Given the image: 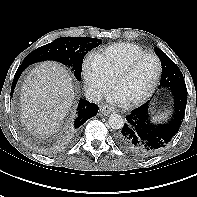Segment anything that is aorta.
Segmentation results:
<instances>
[{"instance_id":"762f6f07","label":"aorta","mask_w":197,"mask_h":197,"mask_svg":"<svg viewBox=\"0 0 197 197\" xmlns=\"http://www.w3.org/2000/svg\"><path fill=\"white\" fill-rule=\"evenodd\" d=\"M108 125L115 130L121 129L124 126V119L119 114H111L108 118Z\"/></svg>"}]
</instances>
